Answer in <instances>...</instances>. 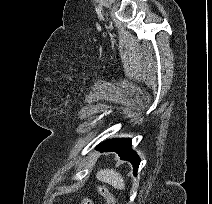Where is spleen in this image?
<instances>
[{
    "instance_id": "1",
    "label": "spleen",
    "mask_w": 212,
    "mask_h": 204,
    "mask_svg": "<svg viewBox=\"0 0 212 204\" xmlns=\"http://www.w3.org/2000/svg\"><path fill=\"white\" fill-rule=\"evenodd\" d=\"M96 177L98 180L108 183L112 187L123 190L125 189V181L121 174L113 169H101L97 172Z\"/></svg>"
}]
</instances>
